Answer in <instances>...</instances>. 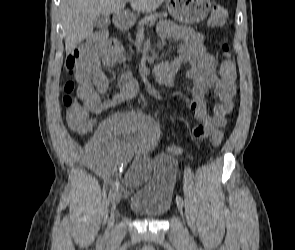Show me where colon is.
Masks as SVG:
<instances>
[{
	"instance_id": "obj_1",
	"label": "colon",
	"mask_w": 295,
	"mask_h": 250,
	"mask_svg": "<svg viewBox=\"0 0 295 250\" xmlns=\"http://www.w3.org/2000/svg\"><path fill=\"white\" fill-rule=\"evenodd\" d=\"M228 21V12L226 8L219 3L213 5L209 24L212 27H223ZM108 41L106 31L96 32L88 43L75 51L74 55L79 56L88 51H98L102 49ZM223 60L220 66V77L227 83H233L236 80V64L232 58L230 47L224 40L222 44ZM76 85L74 81H67L63 86L62 102L66 111V120L70 127L77 132H88L94 126V115L98 114V109L94 106L79 102L76 95Z\"/></svg>"
}]
</instances>
